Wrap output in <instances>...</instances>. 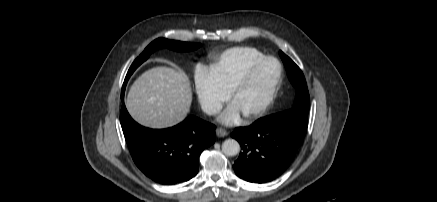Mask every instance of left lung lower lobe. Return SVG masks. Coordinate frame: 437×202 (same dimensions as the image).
<instances>
[{"mask_svg": "<svg viewBox=\"0 0 437 202\" xmlns=\"http://www.w3.org/2000/svg\"><path fill=\"white\" fill-rule=\"evenodd\" d=\"M308 114L288 109L258 119L231 134L242 152L233 165L238 177L265 183L280 176L292 162L307 131Z\"/></svg>", "mask_w": 437, "mask_h": 202, "instance_id": "obj_1", "label": "left lung lower lobe"}]
</instances>
